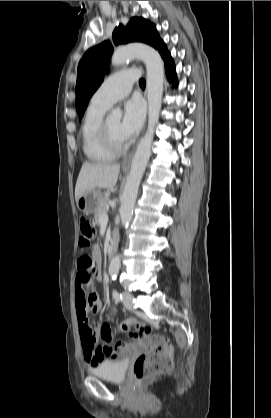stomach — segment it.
<instances>
[{
    "label": "stomach",
    "instance_id": "obj_1",
    "mask_svg": "<svg viewBox=\"0 0 271 418\" xmlns=\"http://www.w3.org/2000/svg\"><path fill=\"white\" fill-rule=\"evenodd\" d=\"M102 197L103 194L98 189L88 191L77 200V207L84 214L94 213Z\"/></svg>",
    "mask_w": 271,
    "mask_h": 418
}]
</instances>
